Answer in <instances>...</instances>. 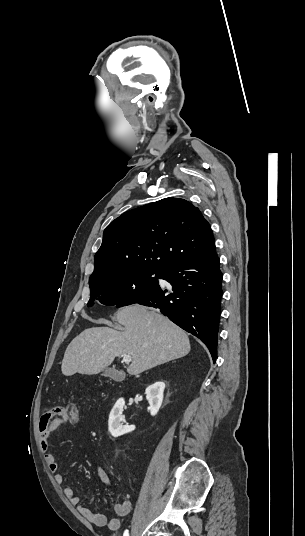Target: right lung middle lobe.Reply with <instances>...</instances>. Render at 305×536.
I'll use <instances>...</instances> for the list:
<instances>
[{"label":"right lung middle lobe","instance_id":"right-lung-middle-lobe-1","mask_svg":"<svg viewBox=\"0 0 305 536\" xmlns=\"http://www.w3.org/2000/svg\"><path fill=\"white\" fill-rule=\"evenodd\" d=\"M163 274L164 271L139 270L89 282L91 298L87 305L92 306L94 301L117 307L137 303L159 285L158 278H162Z\"/></svg>","mask_w":305,"mask_h":536}]
</instances>
